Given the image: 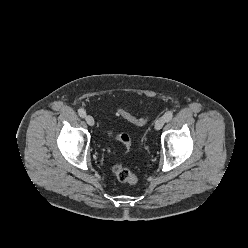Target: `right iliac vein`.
Returning a JSON list of instances; mask_svg holds the SVG:
<instances>
[{
	"mask_svg": "<svg viewBox=\"0 0 248 248\" xmlns=\"http://www.w3.org/2000/svg\"><path fill=\"white\" fill-rule=\"evenodd\" d=\"M85 120H86L87 124L90 126H93L95 123L94 118L91 115H87L85 117Z\"/></svg>",
	"mask_w": 248,
	"mask_h": 248,
	"instance_id": "right-iliac-vein-1",
	"label": "right iliac vein"
}]
</instances>
